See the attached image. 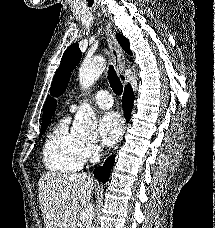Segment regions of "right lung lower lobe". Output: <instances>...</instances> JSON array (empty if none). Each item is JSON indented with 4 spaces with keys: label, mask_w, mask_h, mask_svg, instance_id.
I'll return each instance as SVG.
<instances>
[{
    "label": "right lung lower lobe",
    "mask_w": 215,
    "mask_h": 228,
    "mask_svg": "<svg viewBox=\"0 0 215 228\" xmlns=\"http://www.w3.org/2000/svg\"><path fill=\"white\" fill-rule=\"evenodd\" d=\"M133 99H134V93H133L131 86L128 84L125 87V92H124V95L122 98L123 111H124V115H125V118L127 121H129V119L131 117V111L133 108ZM113 164H114V156L108 157L102 166L97 167L94 170V176L100 182L106 183L109 179L110 171H111Z\"/></svg>",
    "instance_id": "right-lung-lower-lobe-1"
}]
</instances>
